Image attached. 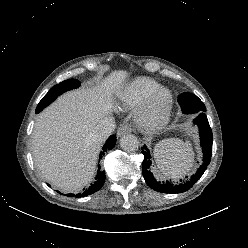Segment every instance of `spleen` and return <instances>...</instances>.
<instances>
[{
    "label": "spleen",
    "instance_id": "obj_1",
    "mask_svg": "<svg viewBox=\"0 0 248 248\" xmlns=\"http://www.w3.org/2000/svg\"><path fill=\"white\" fill-rule=\"evenodd\" d=\"M154 158L161 172L174 180L182 178L193 167L194 153L189 142L165 139L156 144Z\"/></svg>",
    "mask_w": 248,
    "mask_h": 248
}]
</instances>
